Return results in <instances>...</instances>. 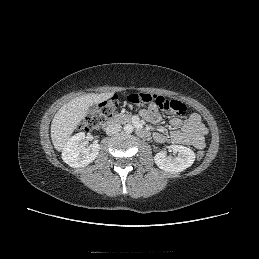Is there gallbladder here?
Instances as JSON below:
<instances>
[{
    "label": "gallbladder",
    "mask_w": 259,
    "mask_h": 259,
    "mask_svg": "<svg viewBox=\"0 0 259 259\" xmlns=\"http://www.w3.org/2000/svg\"><path fill=\"white\" fill-rule=\"evenodd\" d=\"M97 104H93L89 109H88V112L90 114H94L96 111H97Z\"/></svg>",
    "instance_id": "1"
}]
</instances>
